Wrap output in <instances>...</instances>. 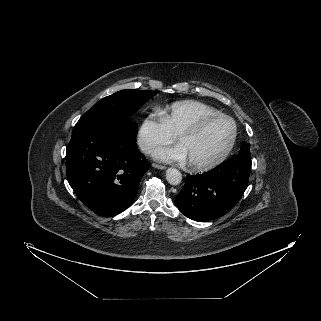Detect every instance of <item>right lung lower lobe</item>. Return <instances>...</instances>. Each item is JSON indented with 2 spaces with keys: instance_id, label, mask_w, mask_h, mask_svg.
I'll list each match as a JSON object with an SVG mask.
<instances>
[{
  "instance_id": "right-lung-lower-lobe-1",
  "label": "right lung lower lobe",
  "mask_w": 321,
  "mask_h": 321,
  "mask_svg": "<svg viewBox=\"0 0 321 321\" xmlns=\"http://www.w3.org/2000/svg\"><path fill=\"white\" fill-rule=\"evenodd\" d=\"M125 121L75 128L66 149L67 178L77 197L101 216H115L134 201L149 163Z\"/></svg>"
}]
</instances>
